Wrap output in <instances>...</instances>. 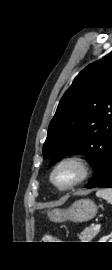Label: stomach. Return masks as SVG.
I'll return each mask as SVG.
<instances>
[{"label": "stomach", "mask_w": 112, "mask_h": 270, "mask_svg": "<svg viewBox=\"0 0 112 270\" xmlns=\"http://www.w3.org/2000/svg\"><path fill=\"white\" fill-rule=\"evenodd\" d=\"M98 212V207L90 199L75 201L68 209L55 208L47 212L51 221L64 222L72 221L82 223L93 219Z\"/></svg>", "instance_id": "obj_1"}]
</instances>
